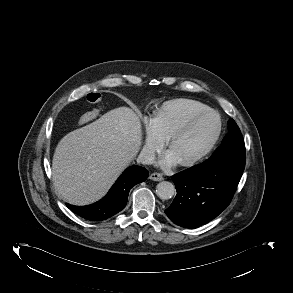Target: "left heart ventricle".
Returning <instances> with one entry per match:
<instances>
[{"label":"left heart ventricle","instance_id":"1","mask_svg":"<svg viewBox=\"0 0 293 293\" xmlns=\"http://www.w3.org/2000/svg\"><path fill=\"white\" fill-rule=\"evenodd\" d=\"M216 128V116H204L171 144L170 151L180 162L189 160L202 151L214 135Z\"/></svg>","mask_w":293,"mask_h":293}]
</instances>
